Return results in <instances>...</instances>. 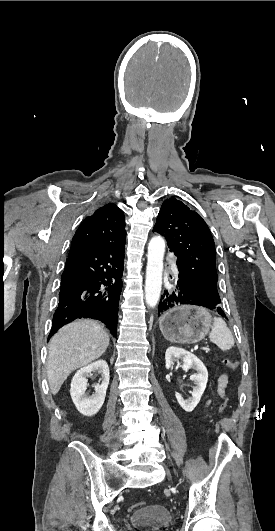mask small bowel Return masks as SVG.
Returning a JSON list of instances; mask_svg holds the SVG:
<instances>
[{"mask_svg":"<svg viewBox=\"0 0 275 531\" xmlns=\"http://www.w3.org/2000/svg\"><path fill=\"white\" fill-rule=\"evenodd\" d=\"M229 379L226 374H220L217 378V384H216V393L221 396H226V388L228 385ZM211 403V400L209 399L206 403V405H209Z\"/></svg>","mask_w":275,"mask_h":531,"instance_id":"obj_1","label":"small bowel"}]
</instances>
